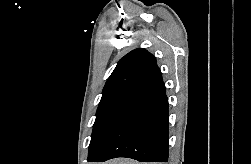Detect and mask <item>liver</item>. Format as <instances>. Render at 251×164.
Returning a JSON list of instances; mask_svg holds the SVG:
<instances>
[{
  "label": "liver",
  "instance_id": "liver-1",
  "mask_svg": "<svg viewBox=\"0 0 251 164\" xmlns=\"http://www.w3.org/2000/svg\"><path fill=\"white\" fill-rule=\"evenodd\" d=\"M104 164H140V163L127 160V159H116V160H113Z\"/></svg>",
  "mask_w": 251,
  "mask_h": 164
}]
</instances>
